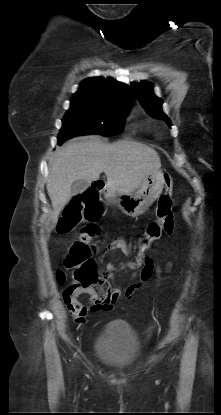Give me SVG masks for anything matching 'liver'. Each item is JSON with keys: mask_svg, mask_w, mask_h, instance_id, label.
<instances>
[{"mask_svg": "<svg viewBox=\"0 0 221 415\" xmlns=\"http://www.w3.org/2000/svg\"><path fill=\"white\" fill-rule=\"evenodd\" d=\"M160 167L158 153L141 143L121 140L106 144L98 136L70 140L58 151L49 168L46 188L53 207L52 223L58 221L61 210L70 201L74 181H94L104 172L108 190L132 194Z\"/></svg>", "mask_w": 221, "mask_h": 415, "instance_id": "liver-1", "label": "liver"}]
</instances>
